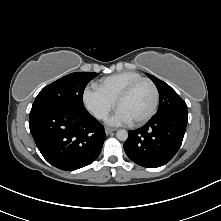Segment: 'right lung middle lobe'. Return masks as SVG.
Instances as JSON below:
<instances>
[{
    "instance_id": "dd1d6c3e",
    "label": "right lung middle lobe",
    "mask_w": 221,
    "mask_h": 221,
    "mask_svg": "<svg viewBox=\"0 0 221 221\" xmlns=\"http://www.w3.org/2000/svg\"><path fill=\"white\" fill-rule=\"evenodd\" d=\"M97 75V73L86 72L71 73L44 87L37 95L30 114L52 107L85 110L84 89L87 83Z\"/></svg>"
}]
</instances>
